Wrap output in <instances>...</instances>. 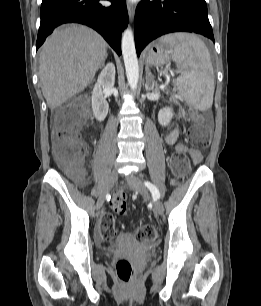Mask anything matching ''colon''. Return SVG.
Returning a JSON list of instances; mask_svg holds the SVG:
<instances>
[{
    "mask_svg": "<svg viewBox=\"0 0 261 306\" xmlns=\"http://www.w3.org/2000/svg\"><path fill=\"white\" fill-rule=\"evenodd\" d=\"M85 122V108L80 101L63 106L54 118V157L58 164L66 169L77 180L83 178L82 168L85 143L81 139L80 129ZM190 144L197 149H205L210 143V130L206 124L196 123L188 130ZM170 167L174 175L184 178L191 169V160L183 149H177L171 156ZM111 207L114 211L124 213L127 209L126 195L116 194ZM100 234L105 242H111L115 236V218L107 211L103 213L99 223ZM138 237L145 242H154L158 238V229L152 224L139 228ZM115 271L125 282L133 279L134 266L126 259L116 262Z\"/></svg>",
    "mask_w": 261,
    "mask_h": 306,
    "instance_id": "1",
    "label": "colon"
}]
</instances>
